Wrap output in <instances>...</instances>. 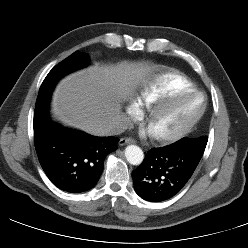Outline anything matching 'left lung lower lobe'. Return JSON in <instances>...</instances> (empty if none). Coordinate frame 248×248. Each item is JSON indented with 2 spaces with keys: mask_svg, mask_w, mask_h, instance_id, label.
<instances>
[{
  "mask_svg": "<svg viewBox=\"0 0 248 248\" xmlns=\"http://www.w3.org/2000/svg\"><path fill=\"white\" fill-rule=\"evenodd\" d=\"M204 150L173 143L152 148L141 165L132 172L136 193L144 200L161 202L178 194L200 162Z\"/></svg>",
  "mask_w": 248,
  "mask_h": 248,
  "instance_id": "1",
  "label": "left lung lower lobe"
}]
</instances>
